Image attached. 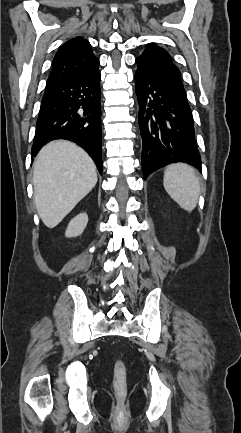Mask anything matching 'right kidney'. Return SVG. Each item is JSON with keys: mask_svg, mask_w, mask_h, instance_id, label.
Here are the masks:
<instances>
[{"mask_svg": "<svg viewBox=\"0 0 241 433\" xmlns=\"http://www.w3.org/2000/svg\"><path fill=\"white\" fill-rule=\"evenodd\" d=\"M87 223L88 215L85 212L78 214L69 222L65 236L71 238L81 235Z\"/></svg>", "mask_w": 241, "mask_h": 433, "instance_id": "1", "label": "right kidney"}]
</instances>
